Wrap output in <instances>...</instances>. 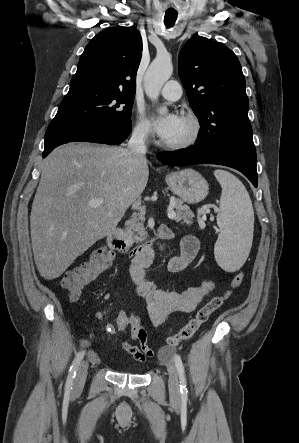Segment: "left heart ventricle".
Returning <instances> with one entry per match:
<instances>
[{
  "label": "left heart ventricle",
  "instance_id": "b2bd125f",
  "mask_svg": "<svg viewBox=\"0 0 299 443\" xmlns=\"http://www.w3.org/2000/svg\"><path fill=\"white\" fill-rule=\"evenodd\" d=\"M190 132V126L187 122L184 120H180V123L177 127V129L174 131V133L165 139V141L174 142V141H180L188 136Z\"/></svg>",
  "mask_w": 299,
  "mask_h": 443
}]
</instances>
